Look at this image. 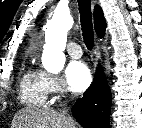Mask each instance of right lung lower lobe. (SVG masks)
Wrapping results in <instances>:
<instances>
[{
    "label": "right lung lower lobe",
    "instance_id": "obj_1",
    "mask_svg": "<svg viewBox=\"0 0 142 128\" xmlns=\"http://www.w3.org/2000/svg\"><path fill=\"white\" fill-rule=\"evenodd\" d=\"M111 92L99 66L92 86L72 108V114L84 128H110Z\"/></svg>",
    "mask_w": 142,
    "mask_h": 128
}]
</instances>
